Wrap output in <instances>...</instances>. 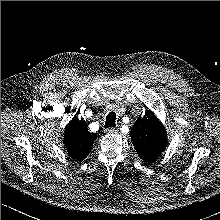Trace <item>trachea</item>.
Instances as JSON below:
<instances>
[{
  "instance_id": "3493384b",
  "label": "trachea",
  "mask_w": 220,
  "mask_h": 220,
  "mask_svg": "<svg viewBox=\"0 0 220 220\" xmlns=\"http://www.w3.org/2000/svg\"><path fill=\"white\" fill-rule=\"evenodd\" d=\"M115 120H116V114L114 112L109 113L106 116V123L105 127L110 128V127H115Z\"/></svg>"
}]
</instances>
